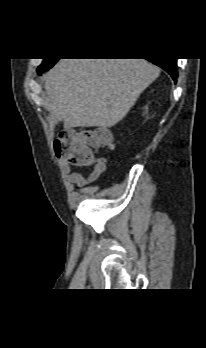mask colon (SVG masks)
I'll return each instance as SVG.
<instances>
[{"label": "colon", "mask_w": 206, "mask_h": 348, "mask_svg": "<svg viewBox=\"0 0 206 348\" xmlns=\"http://www.w3.org/2000/svg\"><path fill=\"white\" fill-rule=\"evenodd\" d=\"M103 146L113 149L111 134L103 128L67 130L55 141L54 151L58 158L71 165H89L96 161L94 150Z\"/></svg>", "instance_id": "colon-1"}]
</instances>
